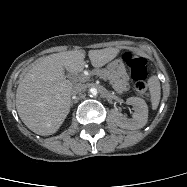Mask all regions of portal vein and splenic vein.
<instances>
[{
    "label": "portal vein and splenic vein",
    "instance_id": "obj_1",
    "mask_svg": "<svg viewBox=\"0 0 187 187\" xmlns=\"http://www.w3.org/2000/svg\"><path fill=\"white\" fill-rule=\"evenodd\" d=\"M85 78V77H84ZM101 78H103V77H101ZM105 81H106V79L105 78H103Z\"/></svg>",
    "mask_w": 187,
    "mask_h": 187
}]
</instances>
